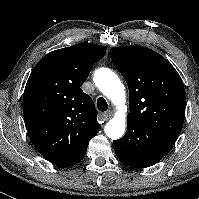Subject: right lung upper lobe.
<instances>
[{
	"label": "right lung upper lobe",
	"instance_id": "cb5924a9",
	"mask_svg": "<svg viewBox=\"0 0 199 199\" xmlns=\"http://www.w3.org/2000/svg\"><path fill=\"white\" fill-rule=\"evenodd\" d=\"M105 54L101 45L78 43L45 55L29 76L23 97L27 133L59 167L79 163L99 131L95 105L80 87Z\"/></svg>",
	"mask_w": 199,
	"mask_h": 199
}]
</instances>
